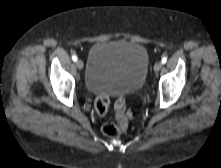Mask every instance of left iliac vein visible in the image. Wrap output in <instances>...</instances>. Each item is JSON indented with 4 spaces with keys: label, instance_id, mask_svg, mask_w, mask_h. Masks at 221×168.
<instances>
[{
    "label": "left iliac vein",
    "instance_id": "1",
    "mask_svg": "<svg viewBox=\"0 0 221 168\" xmlns=\"http://www.w3.org/2000/svg\"><path fill=\"white\" fill-rule=\"evenodd\" d=\"M162 68V63L161 62H156L154 65V71L158 72Z\"/></svg>",
    "mask_w": 221,
    "mask_h": 168
}]
</instances>
